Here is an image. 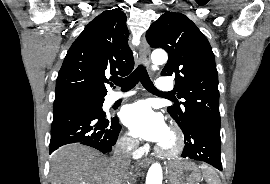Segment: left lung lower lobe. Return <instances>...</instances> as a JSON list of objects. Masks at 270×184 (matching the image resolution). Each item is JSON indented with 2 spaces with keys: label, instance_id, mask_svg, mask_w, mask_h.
I'll use <instances>...</instances> for the list:
<instances>
[{
  "label": "left lung lower lobe",
  "instance_id": "0a47b994",
  "mask_svg": "<svg viewBox=\"0 0 270 184\" xmlns=\"http://www.w3.org/2000/svg\"><path fill=\"white\" fill-rule=\"evenodd\" d=\"M182 131L185 147L181 156L206 162L221 171L220 127L195 123Z\"/></svg>",
  "mask_w": 270,
  "mask_h": 184
}]
</instances>
